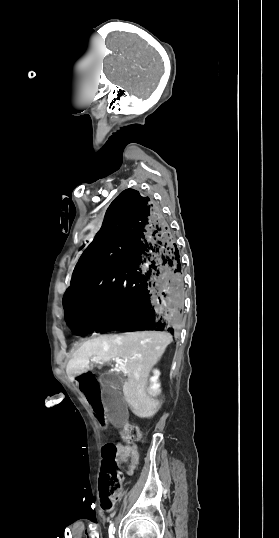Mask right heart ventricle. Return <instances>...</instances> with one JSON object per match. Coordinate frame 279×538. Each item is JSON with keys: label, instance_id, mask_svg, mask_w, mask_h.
Wrapping results in <instances>:
<instances>
[{"label": "right heart ventricle", "instance_id": "e07e8e85", "mask_svg": "<svg viewBox=\"0 0 279 538\" xmlns=\"http://www.w3.org/2000/svg\"><path fill=\"white\" fill-rule=\"evenodd\" d=\"M56 228H57V231H58V234L64 236L66 234V229H65V226H64V223L59 220L56 224Z\"/></svg>", "mask_w": 279, "mask_h": 538}]
</instances>
